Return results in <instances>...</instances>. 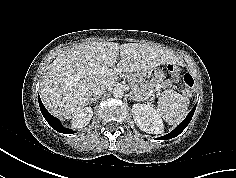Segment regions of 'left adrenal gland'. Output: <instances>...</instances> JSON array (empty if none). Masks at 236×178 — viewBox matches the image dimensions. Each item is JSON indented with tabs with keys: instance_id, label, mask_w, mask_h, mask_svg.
Here are the masks:
<instances>
[{
	"instance_id": "a2214340",
	"label": "left adrenal gland",
	"mask_w": 236,
	"mask_h": 178,
	"mask_svg": "<svg viewBox=\"0 0 236 178\" xmlns=\"http://www.w3.org/2000/svg\"><path fill=\"white\" fill-rule=\"evenodd\" d=\"M131 98L134 100V101H141L140 99H138L135 95H133L132 93H131Z\"/></svg>"
}]
</instances>
